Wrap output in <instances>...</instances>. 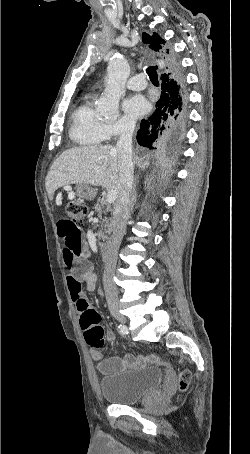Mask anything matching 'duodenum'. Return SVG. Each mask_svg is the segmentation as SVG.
<instances>
[{"label": "duodenum", "mask_w": 250, "mask_h": 454, "mask_svg": "<svg viewBox=\"0 0 250 454\" xmlns=\"http://www.w3.org/2000/svg\"><path fill=\"white\" fill-rule=\"evenodd\" d=\"M111 254H112L111 244L109 242H105L102 245V255H103L104 261H106V262L109 261L111 258Z\"/></svg>", "instance_id": "1"}]
</instances>
